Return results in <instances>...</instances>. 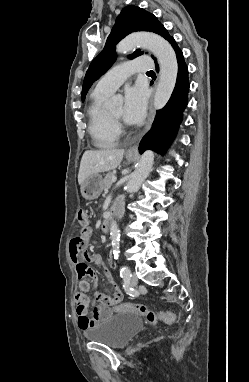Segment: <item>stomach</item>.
Returning <instances> with one entry per match:
<instances>
[{
	"instance_id": "stomach-1",
	"label": "stomach",
	"mask_w": 249,
	"mask_h": 382,
	"mask_svg": "<svg viewBox=\"0 0 249 382\" xmlns=\"http://www.w3.org/2000/svg\"><path fill=\"white\" fill-rule=\"evenodd\" d=\"M128 160H133L134 156L127 155ZM102 176L98 173L90 175L81 186V194L86 200L96 199L102 192Z\"/></svg>"
}]
</instances>
